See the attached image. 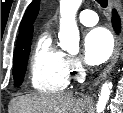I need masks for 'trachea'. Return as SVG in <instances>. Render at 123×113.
<instances>
[{"label": "trachea", "mask_w": 123, "mask_h": 113, "mask_svg": "<svg viewBox=\"0 0 123 113\" xmlns=\"http://www.w3.org/2000/svg\"><path fill=\"white\" fill-rule=\"evenodd\" d=\"M96 1L103 8H106L108 5V0H96Z\"/></svg>", "instance_id": "trachea-1"}]
</instances>
